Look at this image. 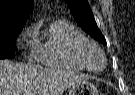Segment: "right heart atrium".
<instances>
[{
    "label": "right heart atrium",
    "instance_id": "right-heart-atrium-1",
    "mask_svg": "<svg viewBox=\"0 0 135 95\" xmlns=\"http://www.w3.org/2000/svg\"><path fill=\"white\" fill-rule=\"evenodd\" d=\"M32 30L30 28H27L24 32H23V37L31 35ZM30 56L35 57L36 56V44L35 41L32 43L31 47H30V51H29Z\"/></svg>",
    "mask_w": 135,
    "mask_h": 95
}]
</instances>
